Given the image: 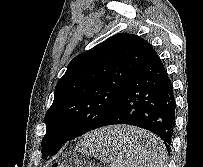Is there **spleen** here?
I'll return each instance as SVG.
<instances>
[{"instance_id": "obj_1", "label": "spleen", "mask_w": 203, "mask_h": 167, "mask_svg": "<svg viewBox=\"0 0 203 167\" xmlns=\"http://www.w3.org/2000/svg\"><path fill=\"white\" fill-rule=\"evenodd\" d=\"M109 135L96 131L89 134L81 143V151L89 153L99 158L104 163H110L108 167H166V152L162 142L157 137H152L138 151L137 157H133L126 149L121 146L109 148ZM127 149L132 150L129 145H125ZM124 149V156L116 155L114 149Z\"/></svg>"}]
</instances>
